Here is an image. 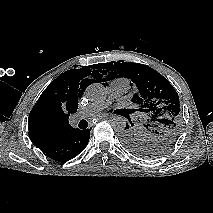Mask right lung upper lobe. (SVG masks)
I'll return each instance as SVG.
<instances>
[{"label":"right lung upper lobe","instance_id":"1","mask_svg":"<svg viewBox=\"0 0 213 213\" xmlns=\"http://www.w3.org/2000/svg\"><path fill=\"white\" fill-rule=\"evenodd\" d=\"M95 69V65H90L68 70L43 91L28 118L29 138L33 144L40 140H57L75 131L69 124V115L77 111L78 99L87 86L101 80L102 75Z\"/></svg>","mask_w":213,"mask_h":213}]
</instances>
